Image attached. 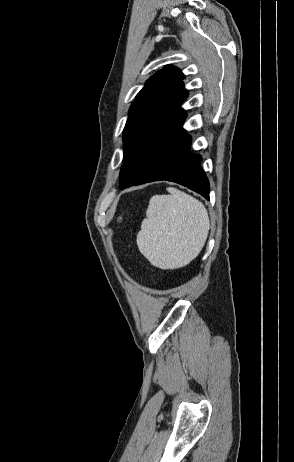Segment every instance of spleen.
Masks as SVG:
<instances>
[{"label": "spleen", "mask_w": 294, "mask_h": 462, "mask_svg": "<svg viewBox=\"0 0 294 462\" xmlns=\"http://www.w3.org/2000/svg\"><path fill=\"white\" fill-rule=\"evenodd\" d=\"M169 195L150 199L137 235L140 252L161 269L180 268L202 250L210 222L204 205L191 195L169 187Z\"/></svg>", "instance_id": "1"}]
</instances>
